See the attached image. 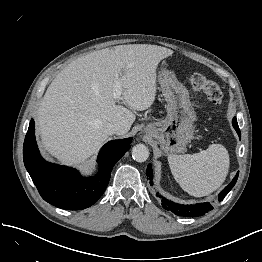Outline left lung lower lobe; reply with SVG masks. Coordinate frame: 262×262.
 Here are the masks:
<instances>
[{"label": "left lung lower lobe", "mask_w": 262, "mask_h": 262, "mask_svg": "<svg viewBox=\"0 0 262 262\" xmlns=\"http://www.w3.org/2000/svg\"><path fill=\"white\" fill-rule=\"evenodd\" d=\"M232 124L235 130L237 131L239 137L241 138V132H240V129H239V126H238V123L235 117L233 118ZM146 172H147V177L150 179V184L153 185V172H152L151 164L147 166ZM237 178H238V173L233 178V180L224 188V190H222L219 193L217 197V200L219 202L223 200L224 197L228 194V192L232 189V187L235 185L237 181ZM157 196L161 198L162 207L165 210L171 211L175 215H178V216L198 217V216L205 214L209 210L213 209L212 205L209 202L198 203V204H193V205L192 204L191 205H182V204L174 203L164 198L163 196L159 195V193H157Z\"/></svg>", "instance_id": "obj_1"}]
</instances>
